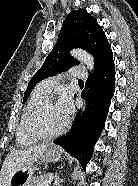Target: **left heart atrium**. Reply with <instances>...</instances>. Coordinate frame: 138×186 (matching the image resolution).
Listing matches in <instances>:
<instances>
[{
    "label": "left heart atrium",
    "instance_id": "39dd6f15",
    "mask_svg": "<svg viewBox=\"0 0 138 186\" xmlns=\"http://www.w3.org/2000/svg\"><path fill=\"white\" fill-rule=\"evenodd\" d=\"M59 108L64 115L65 119L67 120L72 112V102L71 98L68 95L62 97L60 102L58 103Z\"/></svg>",
    "mask_w": 138,
    "mask_h": 186
}]
</instances>
